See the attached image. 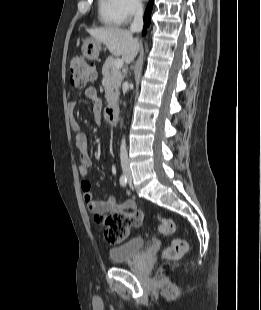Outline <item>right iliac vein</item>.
Wrapping results in <instances>:
<instances>
[{"label":"right iliac vein","mask_w":261,"mask_h":310,"mask_svg":"<svg viewBox=\"0 0 261 310\" xmlns=\"http://www.w3.org/2000/svg\"><path fill=\"white\" fill-rule=\"evenodd\" d=\"M125 172H126V175H128V171L126 170Z\"/></svg>","instance_id":"obj_1"}]
</instances>
